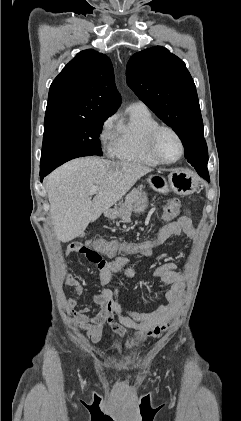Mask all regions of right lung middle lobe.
<instances>
[{"label":"right lung middle lobe","mask_w":241,"mask_h":421,"mask_svg":"<svg viewBox=\"0 0 241 421\" xmlns=\"http://www.w3.org/2000/svg\"><path fill=\"white\" fill-rule=\"evenodd\" d=\"M109 116L46 114L40 169L56 168L77 157L101 156V143L98 137L103 122Z\"/></svg>","instance_id":"right-lung-middle-lobe-1"}]
</instances>
